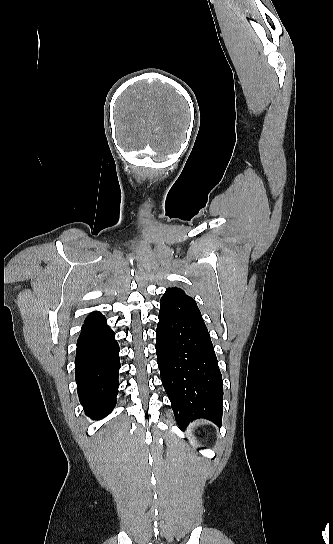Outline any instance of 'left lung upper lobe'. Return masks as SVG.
<instances>
[{"label":"left lung upper lobe","mask_w":333,"mask_h":544,"mask_svg":"<svg viewBox=\"0 0 333 544\" xmlns=\"http://www.w3.org/2000/svg\"><path fill=\"white\" fill-rule=\"evenodd\" d=\"M166 294H178V295H185V296H188V295L185 294V292H184L182 289L177 288V287L168 288V289L166 290L165 294L162 296L161 299H163L164 296H165Z\"/></svg>","instance_id":"5c2ea615"}]
</instances>
